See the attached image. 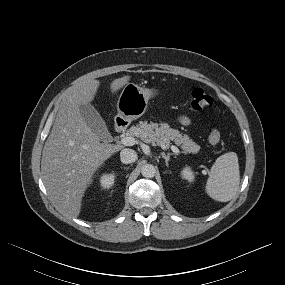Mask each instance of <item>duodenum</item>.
Segmentation results:
<instances>
[{"mask_svg":"<svg viewBox=\"0 0 285 285\" xmlns=\"http://www.w3.org/2000/svg\"><path fill=\"white\" fill-rule=\"evenodd\" d=\"M126 126H127V123L123 119L118 118L115 122V129L117 132L125 131Z\"/></svg>","mask_w":285,"mask_h":285,"instance_id":"duodenum-1","label":"duodenum"}]
</instances>
